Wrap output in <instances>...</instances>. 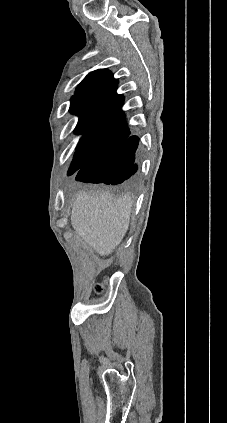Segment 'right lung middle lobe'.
Instances as JSON below:
<instances>
[{"instance_id":"obj_1","label":"right lung middle lobe","mask_w":227,"mask_h":423,"mask_svg":"<svg viewBox=\"0 0 227 423\" xmlns=\"http://www.w3.org/2000/svg\"><path fill=\"white\" fill-rule=\"evenodd\" d=\"M92 156L93 155H82L76 153L72 165L69 169L68 175H72L77 170H79L84 165V163Z\"/></svg>"}]
</instances>
